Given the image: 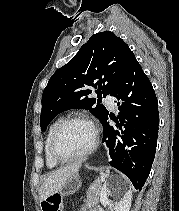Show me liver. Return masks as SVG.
<instances>
[{"label": "liver", "mask_w": 179, "mask_h": 211, "mask_svg": "<svg viewBox=\"0 0 179 211\" xmlns=\"http://www.w3.org/2000/svg\"><path fill=\"white\" fill-rule=\"evenodd\" d=\"M80 167L81 162H77L51 172L40 187V201L57 193L72 175L78 173Z\"/></svg>", "instance_id": "obj_1"}]
</instances>
